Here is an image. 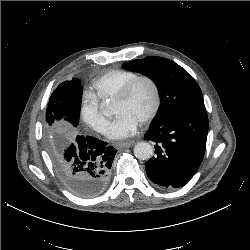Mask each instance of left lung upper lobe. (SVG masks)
<instances>
[{
	"mask_svg": "<svg viewBox=\"0 0 250 250\" xmlns=\"http://www.w3.org/2000/svg\"><path fill=\"white\" fill-rule=\"evenodd\" d=\"M123 67L146 75L156 84L161 106L153 123L185 109L204 106L202 92L194 78L171 60L149 56L125 63Z\"/></svg>",
	"mask_w": 250,
	"mask_h": 250,
	"instance_id": "left-lung-upper-lobe-1",
	"label": "left lung upper lobe"
}]
</instances>
